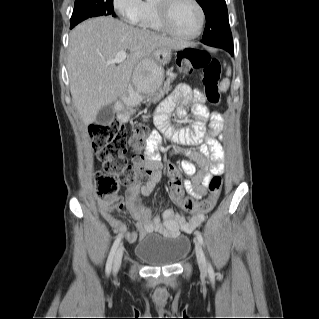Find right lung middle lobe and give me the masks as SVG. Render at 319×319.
Segmentation results:
<instances>
[{"label":"right lung middle lobe","instance_id":"obj_1","mask_svg":"<svg viewBox=\"0 0 319 319\" xmlns=\"http://www.w3.org/2000/svg\"><path fill=\"white\" fill-rule=\"evenodd\" d=\"M102 15L115 16L113 8V0H76L72 17L70 19L73 28L81 21L89 17Z\"/></svg>","mask_w":319,"mask_h":319}]
</instances>
